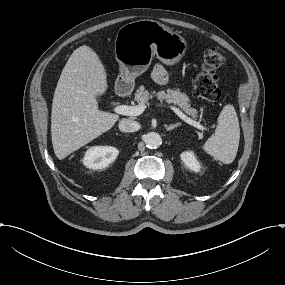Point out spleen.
I'll list each match as a JSON object with an SVG mask.
<instances>
[{"mask_svg":"<svg viewBox=\"0 0 285 285\" xmlns=\"http://www.w3.org/2000/svg\"><path fill=\"white\" fill-rule=\"evenodd\" d=\"M218 121L215 136L206 140L201 148L213 159L228 165L235 160L240 141L239 121L233 104L223 106Z\"/></svg>","mask_w":285,"mask_h":285,"instance_id":"3e777b00","label":"spleen"}]
</instances>
